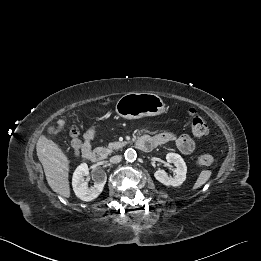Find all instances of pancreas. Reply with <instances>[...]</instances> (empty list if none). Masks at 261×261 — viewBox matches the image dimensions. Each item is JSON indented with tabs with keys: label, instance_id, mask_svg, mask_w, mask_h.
<instances>
[{
	"label": "pancreas",
	"instance_id": "obj_1",
	"mask_svg": "<svg viewBox=\"0 0 261 261\" xmlns=\"http://www.w3.org/2000/svg\"><path fill=\"white\" fill-rule=\"evenodd\" d=\"M125 145H126L125 142H111L108 144L107 150L109 152H112L114 149L122 148Z\"/></svg>",
	"mask_w": 261,
	"mask_h": 261
}]
</instances>
